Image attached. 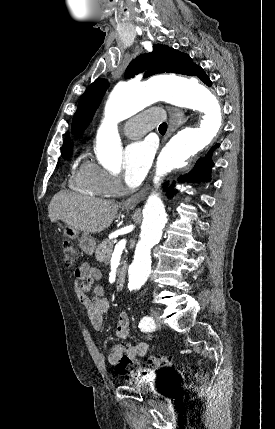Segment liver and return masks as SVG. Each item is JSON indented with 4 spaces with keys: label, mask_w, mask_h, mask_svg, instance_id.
I'll use <instances>...</instances> for the list:
<instances>
[{
    "label": "liver",
    "mask_w": 275,
    "mask_h": 429,
    "mask_svg": "<svg viewBox=\"0 0 275 429\" xmlns=\"http://www.w3.org/2000/svg\"><path fill=\"white\" fill-rule=\"evenodd\" d=\"M118 208L119 205L111 200L61 190L50 201L48 216L51 222L61 220L77 230L94 234L111 225Z\"/></svg>",
    "instance_id": "1"
}]
</instances>
